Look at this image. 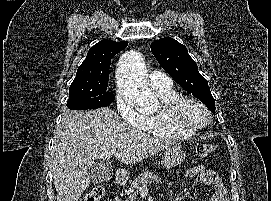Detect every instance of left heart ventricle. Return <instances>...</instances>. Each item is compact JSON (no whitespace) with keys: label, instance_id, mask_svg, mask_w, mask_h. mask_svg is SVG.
Instances as JSON below:
<instances>
[{"label":"left heart ventricle","instance_id":"obj_1","mask_svg":"<svg viewBox=\"0 0 271 201\" xmlns=\"http://www.w3.org/2000/svg\"><path fill=\"white\" fill-rule=\"evenodd\" d=\"M187 115L189 119L197 124H203L206 122L207 116L206 114L199 108L195 106H189L187 108Z\"/></svg>","mask_w":271,"mask_h":201}]
</instances>
